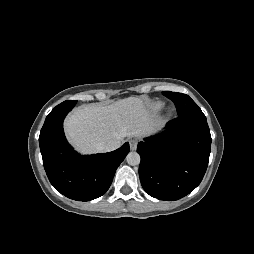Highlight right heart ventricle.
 Instances as JSON below:
<instances>
[{"instance_id":"right-heart-ventricle-1","label":"right heart ventricle","mask_w":254,"mask_h":254,"mask_svg":"<svg viewBox=\"0 0 254 254\" xmlns=\"http://www.w3.org/2000/svg\"><path fill=\"white\" fill-rule=\"evenodd\" d=\"M164 104L163 102H154L151 106H150V111L152 113H157L159 112L162 108H163Z\"/></svg>"}]
</instances>
